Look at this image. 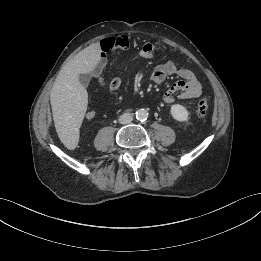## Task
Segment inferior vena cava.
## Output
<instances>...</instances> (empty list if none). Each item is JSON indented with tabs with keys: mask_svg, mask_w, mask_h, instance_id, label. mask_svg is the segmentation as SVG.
I'll use <instances>...</instances> for the list:
<instances>
[{
	"mask_svg": "<svg viewBox=\"0 0 261 261\" xmlns=\"http://www.w3.org/2000/svg\"><path fill=\"white\" fill-rule=\"evenodd\" d=\"M133 120V116L130 113H123L120 117H119V123L120 124H128Z\"/></svg>",
	"mask_w": 261,
	"mask_h": 261,
	"instance_id": "1",
	"label": "inferior vena cava"
}]
</instances>
